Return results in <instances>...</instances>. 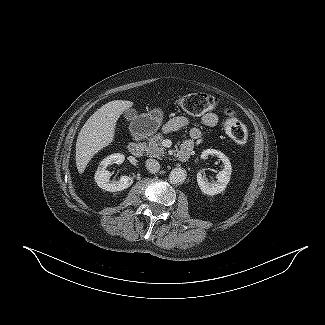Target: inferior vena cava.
<instances>
[{
    "label": "inferior vena cava",
    "instance_id": "1",
    "mask_svg": "<svg viewBox=\"0 0 325 325\" xmlns=\"http://www.w3.org/2000/svg\"><path fill=\"white\" fill-rule=\"evenodd\" d=\"M146 168L150 173H157L160 169V164L155 159L146 160Z\"/></svg>",
    "mask_w": 325,
    "mask_h": 325
}]
</instances>
